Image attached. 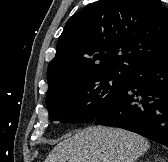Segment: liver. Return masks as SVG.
<instances>
[{
    "label": "liver",
    "instance_id": "1",
    "mask_svg": "<svg viewBox=\"0 0 168 162\" xmlns=\"http://www.w3.org/2000/svg\"><path fill=\"white\" fill-rule=\"evenodd\" d=\"M149 147L131 131L94 126L58 143L44 162H135Z\"/></svg>",
    "mask_w": 168,
    "mask_h": 162
}]
</instances>
